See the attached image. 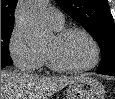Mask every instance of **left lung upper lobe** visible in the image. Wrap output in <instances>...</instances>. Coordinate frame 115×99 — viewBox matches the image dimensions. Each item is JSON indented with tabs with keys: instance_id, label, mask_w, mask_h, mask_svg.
<instances>
[{
	"instance_id": "5c2ea615",
	"label": "left lung upper lobe",
	"mask_w": 115,
	"mask_h": 99,
	"mask_svg": "<svg viewBox=\"0 0 115 99\" xmlns=\"http://www.w3.org/2000/svg\"><path fill=\"white\" fill-rule=\"evenodd\" d=\"M97 41L101 64L97 73L115 72V25L107 0H56Z\"/></svg>"
}]
</instances>
